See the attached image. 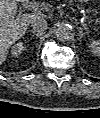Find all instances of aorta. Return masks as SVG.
I'll list each match as a JSON object with an SVG mask.
<instances>
[{
	"label": "aorta",
	"mask_w": 100,
	"mask_h": 118,
	"mask_svg": "<svg viewBox=\"0 0 100 118\" xmlns=\"http://www.w3.org/2000/svg\"><path fill=\"white\" fill-rule=\"evenodd\" d=\"M73 29L68 24H59L55 30V35L60 41H68L71 39Z\"/></svg>",
	"instance_id": "1"
}]
</instances>
